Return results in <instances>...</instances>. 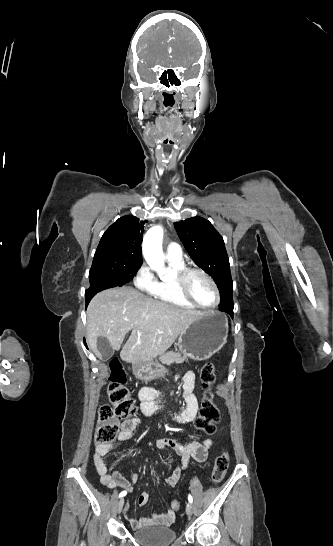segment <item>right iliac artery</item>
<instances>
[{
  "instance_id": "1",
  "label": "right iliac artery",
  "mask_w": 333,
  "mask_h": 546,
  "mask_svg": "<svg viewBox=\"0 0 333 546\" xmlns=\"http://www.w3.org/2000/svg\"><path fill=\"white\" fill-rule=\"evenodd\" d=\"M126 494H127L126 491H122V492L119 494V497H123V496H125Z\"/></svg>"
}]
</instances>
